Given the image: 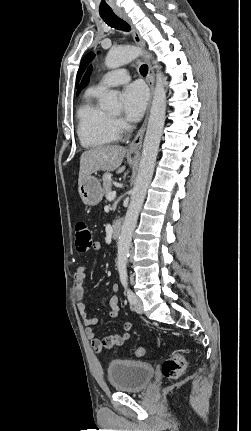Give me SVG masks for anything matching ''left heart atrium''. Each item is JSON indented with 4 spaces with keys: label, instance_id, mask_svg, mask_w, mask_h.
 Instances as JSON below:
<instances>
[{
    "label": "left heart atrium",
    "instance_id": "left-heart-atrium-1",
    "mask_svg": "<svg viewBox=\"0 0 251 431\" xmlns=\"http://www.w3.org/2000/svg\"><path fill=\"white\" fill-rule=\"evenodd\" d=\"M148 102V91L146 87L135 82L128 85L123 92V109L127 118L138 120L143 114Z\"/></svg>",
    "mask_w": 251,
    "mask_h": 431
}]
</instances>
